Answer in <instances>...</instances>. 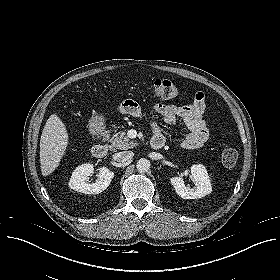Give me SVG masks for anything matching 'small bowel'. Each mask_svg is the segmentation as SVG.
Wrapping results in <instances>:
<instances>
[{"label": "small bowel", "mask_w": 280, "mask_h": 280, "mask_svg": "<svg viewBox=\"0 0 280 280\" xmlns=\"http://www.w3.org/2000/svg\"><path fill=\"white\" fill-rule=\"evenodd\" d=\"M129 108L128 115L141 117L140 107L133 101ZM206 109V95L203 91L195 92L193 100L188 105L175 106L170 104L158 103L153 107L154 112L161 116L163 121L169 125H174L181 120L188 129V133L179 141V145L184 149H199L205 145L209 139V130L203 118ZM121 110V108H120ZM122 111V110H121ZM154 137L164 136L156 122L152 125Z\"/></svg>", "instance_id": "small-bowel-1"}]
</instances>
